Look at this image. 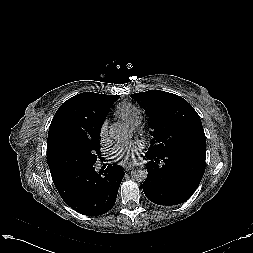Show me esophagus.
I'll use <instances>...</instances> for the list:
<instances>
[{"instance_id": "1", "label": "esophagus", "mask_w": 253, "mask_h": 253, "mask_svg": "<svg viewBox=\"0 0 253 253\" xmlns=\"http://www.w3.org/2000/svg\"><path fill=\"white\" fill-rule=\"evenodd\" d=\"M133 165H131V164H126V165H124V169H125V171H130V170H132L133 169Z\"/></svg>"}]
</instances>
